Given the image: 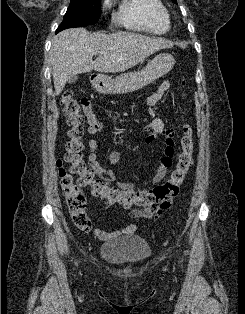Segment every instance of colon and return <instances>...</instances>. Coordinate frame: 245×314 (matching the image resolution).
I'll return each mask as SVG.
<instances>
[{"instance_id": "5ec220e1", "label": "colon", "mask_w": 245, "mask_h": 314, "mask_svg": "<svg viewBox=\"0 0 245 314\" xmlns=\"http://www.w3.org/2000/svg\"><path fill=\"white\" fill-rule=\"evenodd\" d=\"M182 84L185 85V81ZM84 103L85 100L79 101L71 90L64 91L62 95L64 114L69 125V141L66 145L64 160L69 166L64 167L60 160L59 171L66 205L74 225L85 232L92 228L86 213V197L81 192L82 187L89 188L95 197L107 205L137 206L138 210L144 213L162 214L171 206L173 199L178 195L185 176L193 163V139L190 124L186 123L182 127L183 135L180 140L182 151L169 178L164 183L149 190L125 191L106 184L97 177L96 171L84 161V144L82 142L85 122L82 114Z\"/></svg>"}]
</instances>
